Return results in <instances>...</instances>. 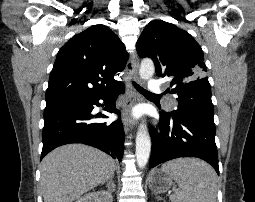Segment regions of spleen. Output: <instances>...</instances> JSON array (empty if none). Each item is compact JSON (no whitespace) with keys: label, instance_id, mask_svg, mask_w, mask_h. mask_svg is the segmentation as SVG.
<instances>
[{"label":"spleen","instance_id":"spleen-1","mask_svg":"<svg viewBox=\"0 0 255 202\" xmlns=\"http://www.w3.org/2000/svg\"><path fill=\"white\" fill-rule=\"evenodd\" d=\"M178 184L179 190L170 196L171 202H216L217 175L200 159H176L162 165Z\"/></svg>","mask_w":255,"mask_h":202}]
</instances>
